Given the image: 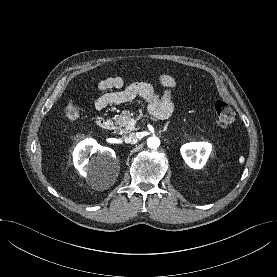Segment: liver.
Returning <instances> with one entry per match:
<instances>
[{
  "instance_id": "obj_1",
  "label": "liver",
  "mask_w": 277,
  "mask_h": 277,
  "mask_svg": "<svg viewBox=\"0 0 277 277\" xmlns=\"http://www.w3.org/2000/svg\"><path fill=\"white\" fill-rule=\"evenodd\" d=\"M38 157H39V160H41L42 154H41V147L40 146H38Z\"/></svg>"
}]
</instances>
